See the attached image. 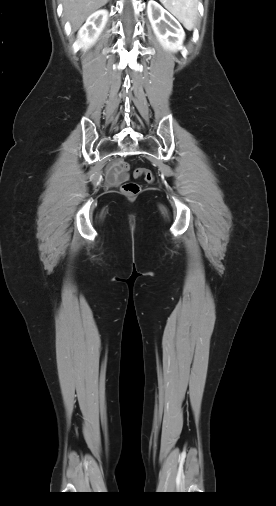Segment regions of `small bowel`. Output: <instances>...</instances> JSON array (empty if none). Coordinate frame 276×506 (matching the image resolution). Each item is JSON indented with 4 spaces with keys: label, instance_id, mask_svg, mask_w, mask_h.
<instances>
[{
    "label": "small bowel",
    "instance_id": "1",
    "mask_svg": "<svg viewBox=\"0 0 276 506\" xmlns=\"http://www.w3.org/2000/svg\"><path fill=\"white\" fill-rule=\"evenodd\" d=\"M126 179V175L116 169L115 164L107 169L106 181L108 184H118Z\"/></svg>",
    "mask_w": 276,
    "mask_h": 506
}]
</instances>
